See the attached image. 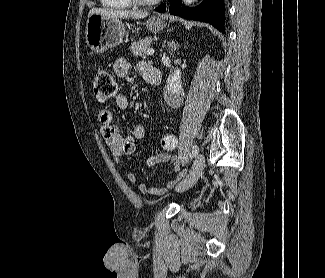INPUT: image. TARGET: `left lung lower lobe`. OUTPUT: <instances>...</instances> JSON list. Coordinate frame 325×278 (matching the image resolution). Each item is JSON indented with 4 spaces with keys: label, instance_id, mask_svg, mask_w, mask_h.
<instances>
[{
    "label": "left lung lower lobe",
    "instance_id": "left-lung-lower-lobe-1",
    "mask_svg": "<svg viewBox=\"0 0 325 278\" xmlns=\"http://www.w3.org/2000/svg\"><path fill=\"white\" fill-rule=\"evenodd\" d=\"M166 4L156 8L157 12H165ZM169 12L188 20H199L210 23L224 33L225 6L224 0H204L195 8L182 6L181 0H171Z\"/></svg>",
    "mask_w": 325,
    "mask_h": 278
}]
</instances>
